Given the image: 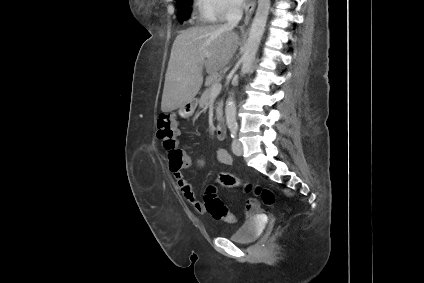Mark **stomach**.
Returning <instances> with one entry per match:
<instances>
[{"instance_id": "stomach-1", "label": "stomach", "mask_w": 424, "mask_h": 283, "mask_svg": "<svg viewBox=\"0 0 424 283\" xmlns=\"http://www.w3.org/2000/svg\"><path fill=\"white\" fill-rule=\"evenodd\" d=\"M195 108H196L195 101L192 100L191 102L180 107L179 110H178V114L181 118L187 119L190 116H192Z\"/></svg>"}]
</instances>
